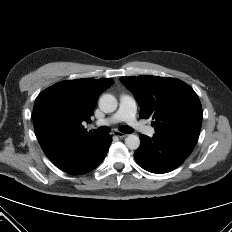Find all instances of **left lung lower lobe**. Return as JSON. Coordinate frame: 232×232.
<instances>
[{
	"instance_id": "1",
	"label": "left lung lower lobe",
	"mask_w": 232,
	"mask_h": 232,
	"mask_svg": "<svg viewBox=\"0 0 232 232\" xmlns=\"http://www.w3.org/2000/svg\"><path fill=\"white\" fill-rule=\"evenodd\" d=\"M198 136L190 134H155L153 138L140 135V147L134 158L143 169L157 174L180 166L193 151Z\"/></svg>"
}]
</instances>
